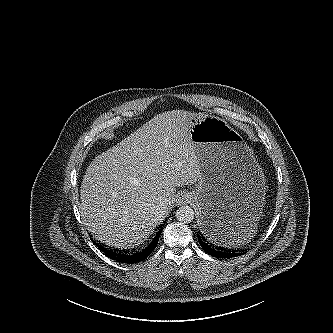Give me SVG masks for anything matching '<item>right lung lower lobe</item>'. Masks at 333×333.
<instances>
[{
    "label": "right lung lower lobe",
    "mask_w": 333,
    "mask_h": 333,
    "mask_svg": "<svg viewBox=\"0 0 333 333\" xmlns=\"http://www.w3.org/2000/svg\"><path fill=\"white\" fill-rule=\"evenodd\" d=\"M161 232H162V229L159 230V232L157 233V235L155 236V238L149 244L148 247H146L145 249H143L141 252H138V253H135V254H132V255L121 254V253H118L116 251L104 248L100 244L94 242L93 239H91V240L109 258H111V259H113V260H115L117 262L132 264V263H137V262H140V261L146 259L151 254V252L157 246V243H158L159 237L161 235Z\"/></svg>",
    "instance_id": "1"
}]
</instances>
